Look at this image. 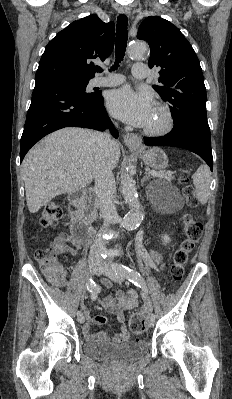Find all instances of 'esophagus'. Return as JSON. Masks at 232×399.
Instances as JSON below:
<instances>
[{
  "label": "esophagus",
  "mask_w": 232,
  "mask_h": 399,
  "mask_svg": "<svg viewBox=\"0 0 232 399\" xmlns=\"http://www.w3.org/2000/svg\"><path fill=\"white\" fill-rule=\"evenodd\" d=\"M119 13L122 15H129L130 8L128 6H122L119 8ZM124 142L130 149H138L141 147L142 138L137 134L126 133L124 135Z\"/></svg>",
  "instance_id": "34e87169"
}]
</instances>
